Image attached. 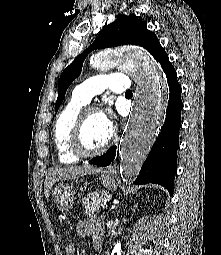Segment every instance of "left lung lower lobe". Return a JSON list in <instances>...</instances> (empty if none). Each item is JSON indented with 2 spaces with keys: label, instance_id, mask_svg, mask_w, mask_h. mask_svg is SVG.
Listing matches in <instances>:
<instances>
[{
  "label": "left lung lower lobe",
  "instance_id": "obj_1",
  "mask_svg": "<svg viewBox=\"0 0 221 255\" xmlns=\"http://www.w3.org/2000/svg\"><path fill=\"white\" fill-rule=\"evenodd\" d=\"M154 58L161 64L167 77L170 90L169 104L162 130L134 184L157 183L164 186L172 194L174 175L177 172L176 152L179 148L178 132L181 128L180 113L183 104L180 95L182 89L177 81L176 71L163 48L155 54ZM115 155L116 147H111L105 154L91 159L89 163L108 166L114 160Z\"/></svg>",
  "mask_w": 221,
  "mask_h": 255
}]
</instances>
